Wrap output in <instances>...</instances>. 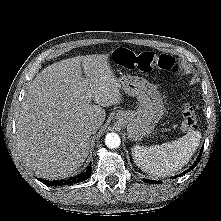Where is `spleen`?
Returning a JSON list of instances; mask_svg holds the SVG:
<instances>
[{
    "label": "spleen",
    "instance_id": "obj_1",
    "mask_svg": "<svg viewBox=\"0 0 221 221\" xmlns=\"http://www.w3.org/2000/svg\"><path fill=\"white\" fill-rule=\"evenodd\" d=\"M201 133L188 132L172 142L150 147L134 146L132 156L135 164L150 175L166 177L180 170L189 162L199 146Z\"/></svg>",
    "mask_w": 221,
    "mask_h": 221
}]
</instances>
